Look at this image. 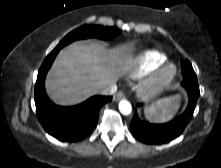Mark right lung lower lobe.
I'll list each match as a JSON object with an SVG mask.
<instances>
[{
  "mask_svg": "<svg viewBox=\"0 0 221 168\" xmlns=\"http://www.w3.org/2000/svg\"><path fill=\"white\" fill-rule=\"evenodd\" d=\"M60 49H54L42 63L35 84L34 99L38 119L47 133L64 142H77L95 128L101 107L110 96H93L71 107L55 105L46 95L45 77Z\"/></svg>",
  "mask_w": 221,
  "mask_h": 168,
  "instance_id": "right-lung-lower-lobe-1",
  "label": "right lung lower lobe"
}]
</instances>
